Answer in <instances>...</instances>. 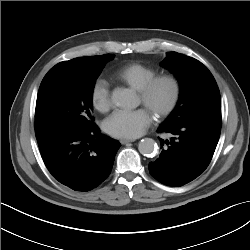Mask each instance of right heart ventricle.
I'll return each instance as SVG.
<instances>
[{
    "instance_id": "e07e8e85",
    "label": "right heart ventricle",
    "mask_w": 250,
    "mask_h": 250,
    "mask_svg": "<svg viewBox=\"0 0 250 250\" xmlns=\"http://www.w3.org/2000/svg\"><path fill=\"white\" fill-rule=\"evenodd\" d=\"M156 75L157 70L155 68L134 62L119 68L114 73V78L138 90Z\"/></svg>"
}]
</instances>
